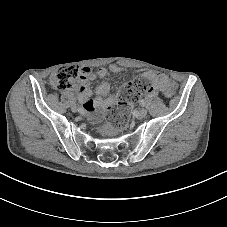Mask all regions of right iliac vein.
<instances>
[{"instance_id":"63e3f726","label":"right iliac vein","mask_w":227,"mask_h":227,"mask_svg":"<svg viewBox=\"0 0 227 227\" xmlns=\"http://www.w3.org/2000/svg\"><path fill=\"white\" fill-rule=\"evenodd\" d=\"M71 109H72L74 112H76V111H77L76 105H73V106L71 107Z\"/></svg>"}]
</instances>
